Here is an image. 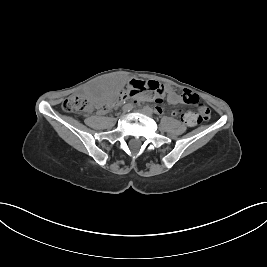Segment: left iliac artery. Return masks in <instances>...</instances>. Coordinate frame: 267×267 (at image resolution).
Masks as SVG:
<instances>
[{"instance_id":"1","label":"left iliac artery","mask_w":267,"mask_h":267,"mask_svg":"<svg viewBox=\"0 0 267 267\" xmlns=\"http://www.w3.org/2000/svg\"><path fill=\"white\" fill-rule=\"evenodd\" d=\"M147 111H149L150 113H152L153 114V109L151 108V107H149V106H145L144 107Z\"/></svg>"}]
</instances>
